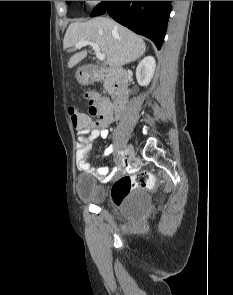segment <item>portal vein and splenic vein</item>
Listing matches in <instances>:
<instances>
[{"label":"portal vein and splenic vein","instance_id":"1","mask_svg":"<svg viewBox=\"0 0 233 295\" xmlns=\"http://www.w3.org/2000/svg\"><path fill=\"white\" fill-rule=\"evenodd\" d=\"M87 45H90L93 48V50H94V52L96 54V57L99 60H101V61H104L105 60V58H106L105 57V54L101 53L100 48H99V45L96 44V43H94V42H92V41L82 40V41L76 43L75 47L78 49V48H82V47L87 46Z\"/></svg>","mask_w":233,"mask_h":295}]
</instances>
